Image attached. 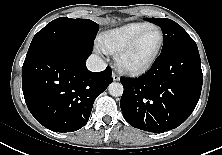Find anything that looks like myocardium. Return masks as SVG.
I'll list each match as a JSON object with an SVG mask.
<instances>
[{"label": "myocardium", "instance_id": "1", "mask_svg": "<svg viewBox=\"0 0 222 155\" xmlns=\"http://www.w3.org/2000/svg\"><path fill=\"white\" fill-rule=\"evenodd\" d=\"M150 30H157L160 35V42H159V45H158L155 53L153 54L151 59L142 66H138V67L128 66L124 61L125 57L137 45V43L142 39V37L145 34H147ZM163 45H164V34H163L162 30L158 26L152 25V26L146 28L145 30L141 31L139 34H137L131 41H129L124 47H122L116 53V56H115L116 64L121 71H123L127 74H130V75L144 74L147 71H149L153 67V65L156 63L157 59L159 58V56L161 54Z\"/></svg>", "mask_w": 222, "mask_h": 155}]
</instances>
